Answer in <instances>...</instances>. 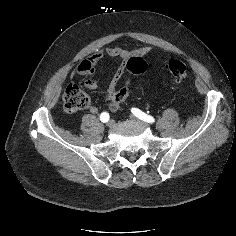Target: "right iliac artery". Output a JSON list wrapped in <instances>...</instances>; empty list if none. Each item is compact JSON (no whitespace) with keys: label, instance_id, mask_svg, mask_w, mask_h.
<instances>
[{"label":"right iliac artery","instance_id":"82829eb1","mask_svg":"<svg viewBox=\"0 0 236 236\" xmlns=\"http://www.w3.org/2000/svg\"><path fill=\"white\" fill-rule=\"evenodd\" d=\"M109 118H110V116L107 112H103L100 115V120L104 123L107 122L109 120Z\"/></svg>","mask_w":236,"mask_h":236}]
</instances>
